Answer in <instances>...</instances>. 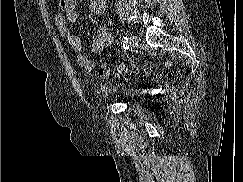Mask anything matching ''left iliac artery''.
I'll return each mask as SVG.
<instances>
[{"label":"left iliac artery","mask_w":243,"mask_h":182,"mask_svg":"<svg viewBox=\"0 0 243 182\" xmlns=\"http://www.w3.org/2000/svg\"><path fill=\"white\" fill-rule=\"evenodd\" d=\"M122 44H123V49L126 51L129 49V41H128V37L124 36L122 38Z\"/></svg>","instance_id":"obj_1"}]
</instances>
